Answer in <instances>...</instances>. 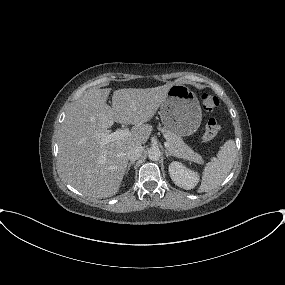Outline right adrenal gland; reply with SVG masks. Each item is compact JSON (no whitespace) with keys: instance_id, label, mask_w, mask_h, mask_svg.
<instances>
[{"instance_id":"1","label":"right adrenal gland","mask_w":285,"mask_h":285,"mask_svg":"<svg viewBox=\"0 0 285 285\" xmlns=\"http://www.w3.org/2000/svg\"><path fill=\"white\" fill-rule=\"evenodd\" d=\"M133 164H135V161H131L130 163H128V166H127V168H126V174H128V172H129V170H130V167L133 165Z\"/></svg>"}]
</instances>
